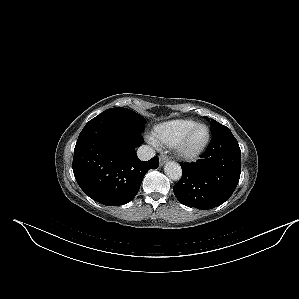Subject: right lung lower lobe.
<instances>
[{
    "label": "right lung lower lobe",
    "instance_id": "1",
    "mask_svg": "<svg viewBox=\"0 0 299 299\" xmlns=\"http://www.w3.org/2000/svg\"><path fill=\"white\" fill-rule=\"evenodd\" d=\"M143 137L132 126L110 115L91 119L79 134L73 158L75 179L90 198L106 206L123 205L137 195L157 156L138 159L135 148Z\"/></svg>",
    "mask_w": 299,
    "mask_h": 299
}]
</instances>
